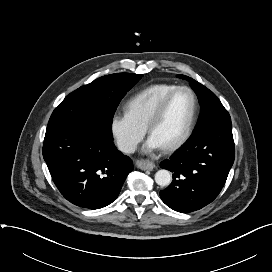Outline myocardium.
Returning <instances> with one entry per match:
<instances>
[{"label":"myocardium","instance_id":"f54148a6","mask_svg":"<svg viewBox=\"0 0 272 272\" xmlns=\"http://www.w3.org/2000/svg\"><path fill=\"white\" fill-rule=\"evenodd\" d=\"M180 91H187L191 95L192 101H193V108H192L191 116L189 118L187 126H186L184 132L182 133V135L174 142H172L168 145L162 146L163 150L167 151V152L174 151V150L180 148L190 138V136L194 130L195 123H196L197 116H198V110H199L198 98H197L195 92L188 86H177L176 88L171 90L168 94L165 95V97L160 101V103L158 104V106L154 110L153 114L151 115V117L148 121L147 128H146L148 133L151 135L154 127L157 125V123L161 120V118L165 114V111H166L171 99L174 97V95L176 93H178Z\"/></svg>","mask_w":272,"mask_h":272}]
</instances>
